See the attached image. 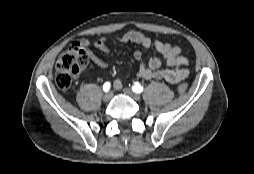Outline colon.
Wrapping results in <instances>:
<instances>
[{"label":"colon","instance_id":"colon-1","mask_svg":"<svg viewBox=\"0 0 254 174\" xmlns=\"http://www.w3.org/2000/svg\"><path fill=\"white\" fill-rule=\"evenodd\" d=\"M89 62V54L87 50L79 43H72L59 56L54 73V81L60 89H67L71 86L73 78L78 74ZM187 84L181 83L178 90L181 93L187 91Z\"/></svg>","mask_w":254,"mask_h":174}]
</instances>
